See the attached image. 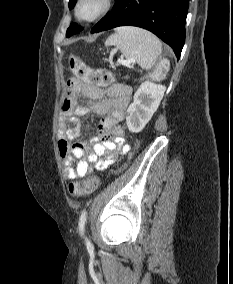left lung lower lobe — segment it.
<instances>
[{
    "label": "left lung lower lobe",
    "mask_w": 233,
    "mask_h": 284,
    "mask_svg": "<svg viewBox=\"0 0 233 284\" xmlns=\"http://www.w3.org/2000/svg\"><path fill=\"white\" fill-rule=\"evenodd\" d=\"M188 7L189 0H116L112 11L91 33L126 25L141 27L170 45L179 59L185 42Z\"/></svg>",
    "instance_id": "obj_1"
}]
</instances>
